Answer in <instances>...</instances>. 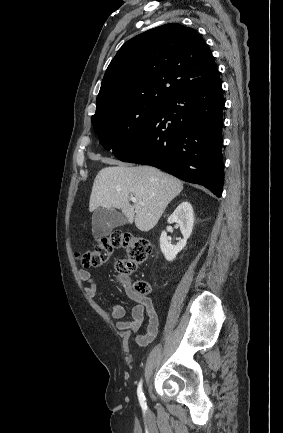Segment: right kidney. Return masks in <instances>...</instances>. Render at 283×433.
<instances>
[{
  "label": "right kidney",
  "mask_w": 283,
  "mask_h": 433,
  "mask_svg": "<svg viewBox=\"0 0 283 433\" xmlns=\"http://www.w3.org/2000/svg\"><path fill=\"white\" fill-rule=\"evenodd\" d=\"M177 223L183 235V239L176 245H172L168 240L166 231L160 236V249L168 261H172L176 255L185 247L187 239L190 237L194 224L193 208L189 202H182L169 216L168 223Z\"/></svg>",
  "instance_id": "obj_1"
}]
</instances>
